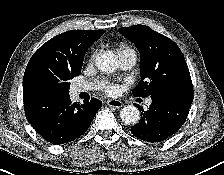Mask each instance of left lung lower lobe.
<instances>
[{"mask_svg":"<svg viewBox=\"0 0 224 175\" xmlns=\"http://www.w3.org/2000/svg\"><path fill=\"white\" fill-rule=\"evenodd\" d=\"M147 111L142 110L139 123L131 133L147 142H161L175 134L186 121L193 94L164 92L151 96Z\"/></svg>","mask_w":224,"mask_h":175,"instance_id":"0a47b994","label":"left lung lower lobe"}]
</instances>
